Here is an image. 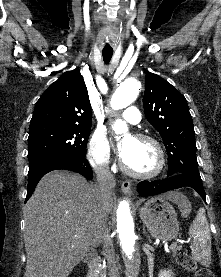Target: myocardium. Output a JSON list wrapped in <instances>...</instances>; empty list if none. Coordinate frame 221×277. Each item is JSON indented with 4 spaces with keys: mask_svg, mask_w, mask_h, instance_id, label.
<instances>
[{
    "mask_svg": "<svg viewBox=\"0 0 221 277\" xmlns=\"http://www.w3.org/2000/svg\"><path fill=\"white\" fill-rule=\"evenodd\" d=\"M134 138L139 141L151 143L155 147L157 154H158L157 167L155 168V170H153L152 172H149V173H138V172H135V171H132L131 169H129L126 166V164L124 163L123 159L121 158V160H120L121 170L126 175H128L132 178H135V179L149 180V179H153V178L157 177L163 171L165 162H166L165 151H164L162 145L160 144V142L157 139H155L152 136L146 135V134H137L134 136Z\"/></svg>",
    "mask_w": 221,
    "mask_h": 277,
    "instance_id": "obj_1",
    "label": "myocardium"
}]
</instances>
